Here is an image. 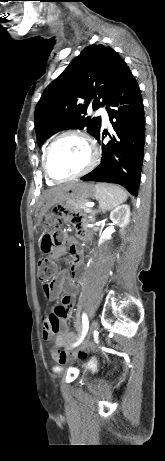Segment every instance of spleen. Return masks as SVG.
Returning <instances> with one entry per match:
<instances>
[{
	"label": "spleen",
	"mask_w": 165,
	"mask_h": 461,
	"mask_svg": "<svg viewBox=\"0 0 165 461\" xmlns=\"http://www.w3.org/2000/svg\"><path fill=\"white\" fill-rule=\"evenodd\" d=\"M127 197V193L117 185L106 183L96 185V198L103 212L119 206L127 200Z\"/></svg>",
	"instance_id": "3e777b00"
}]
</instances>
